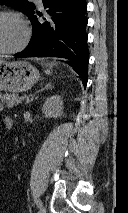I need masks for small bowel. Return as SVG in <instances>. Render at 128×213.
Instances as JSON below:
<instances>
[{
	"mask_svg": "<svg viewBox=\"0 0 128 213\" xmlns=\"http://www.w3.org/2000/svg\"><path fill=\"white\" fill-rule=\"evenodd\" d=\"M2 110V105L0 104V111Z\"/></svg>",
	"mask_w": 128,
	"mask_h": 213,
	"instance_id": "c3829d8e",
	"label": "small bowel"
}]
</instances>
